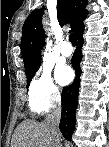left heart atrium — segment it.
<instances>
[{
  "mask_svg": "<svg viewBox=\"0 0 109 147\" xmlns=\"http://www.w3.org/2000/svg\"><path fill=\"white\" fill-rule=\"evenodd\" d=\"M56 77L61 84H66L72 79V71L68 67L61 66L56 71Z\"/></svg>",
  "mask_w": 109,
  "mask_h": 147,
  "instance_id": "left-heart-atrium-1",
  "label": "left heart atrium"
}]
</instances>
